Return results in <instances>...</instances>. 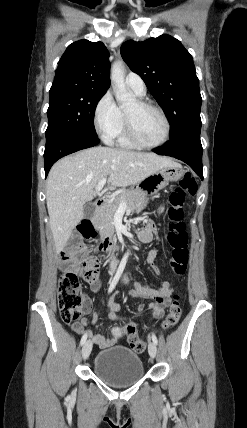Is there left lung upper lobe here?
<instances>
[{"mask_svg": "<svg viewBox=\"0 0 247 428\" xmlns=\"http://www.w3.org/2000/svg\"><path fill=\"white\" fill-rule=\"evenodd\" d=\"M121 56L145 82L167 115L171 140L190 132H200L202 98L193 58L181 42L161 35L143 42L128 40Z\"/></svg>", "mask_w": 247, "mask_h": 428, "instance_id": "obj_1", "label": "left lung upper lobe"}]
</instances>
